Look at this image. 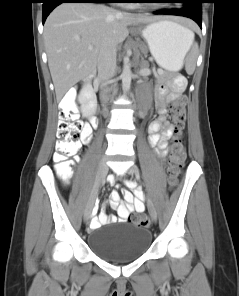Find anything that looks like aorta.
I'll list each match as a JSON object with an SVG mask.
<instances>
[{
    "label": "aorta",
    "mask_w": 239,
    "mask_h": 296,
    "mask_svg": "<svg viewBox=\"0 0 239 296\" xmlns=\"http://www.w3.org/2000/svg\"><path fill=\"white\" fill-rule=\"evenodd\" d=\"M121 77H122L123 91L126 93L130 89L131 78H132V72H131V65H130L129 57L124 58L123 71H122Z\"/></svg>",
    "instance_id": "762f6f07"
}]
</instances>
